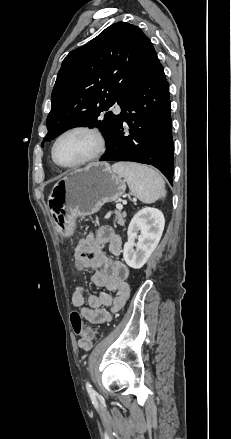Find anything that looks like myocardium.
Instances as JSON below:
<instances>
[{"label":"myocardium","mask_w":231,"mask_h":439,"mask_svg":"<svg viewBox=\"0 0 231 439\" xmlns=\"http://www.w3.org/2000/svg\"><path fill=\"white\" fill-rule=\"evenodd\" d=\"M74 132H86V133L91 134L96 139V142H97L96 150L89 157H87L79 162H76L73 164H68V165L62 164L58 160L57 155H56L57 145L64 136H66L70 133H74ZM106 149H107V139H106V136L104 135V133L99 128L94 127V126H90V125H76V126H73V127H70L68 129L64 130L62 133H60L57 136V138L55 139V141L53 143L52 149H51V156H52L54 163L57 166H59L61 168H65V169H72V168H77V167L83 166L85 164H88V163L100 158L105 153Z\"/></svg>","instance_id":"obj_1"}]
</instances>
